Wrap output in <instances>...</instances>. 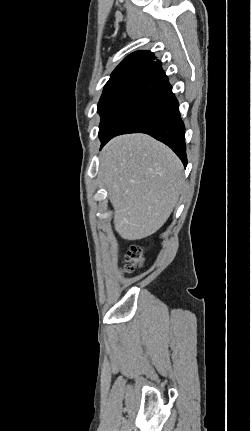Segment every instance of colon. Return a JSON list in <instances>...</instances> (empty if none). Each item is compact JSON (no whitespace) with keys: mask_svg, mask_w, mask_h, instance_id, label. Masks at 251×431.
I'll use <instances>...</instances> for the list:
<instances>
[{"mask_svg":"<svg viewBox=\"0 0 251 431\" xmlns=\"http://www.w3.org/2000/svg\"><path fill=\"white\" fill-rule=\"evenodd\" d=\"M143 249L139 246H132L126 253L125 270L132 272L135 268L143 265Z\"/></svg>","mask_w":251,"mask_h":431,"instance_id":"obj_1","label":"colon"}]
</instances>
